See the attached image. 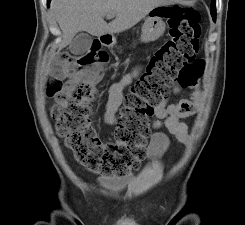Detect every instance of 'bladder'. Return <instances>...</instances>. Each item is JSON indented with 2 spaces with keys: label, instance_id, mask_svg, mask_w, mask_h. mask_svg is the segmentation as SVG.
<instances>
[{
  "label": "bladder",
  "instance_id": "1",
  "mask_svg": "<svg viewBox=\"0 0 245 225\" xmlns=\"http://www.w3.org/2000/svg\"><path fill=\"white\" fill-rule=\"evenodd\" d=\"M115 187H120L117 183L112 184Z\"/></svg>",
  "mask_w": 245,
  "mask_h": 225
}]
</instances>
